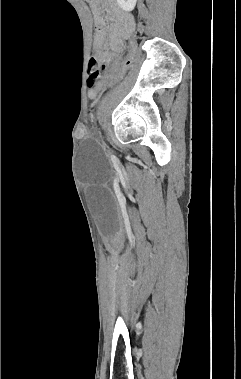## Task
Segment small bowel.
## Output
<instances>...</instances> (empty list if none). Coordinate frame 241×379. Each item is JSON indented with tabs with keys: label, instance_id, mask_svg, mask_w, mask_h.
<instances>
[{
	"label": "small bowel",
	"instance_id": "small-bowel-1",
	"mask_svg": "<svg viewBox=\"0 0 241 379\" xmlns=\"http://www.w3.org/2000/svg\"><path fill=\"white\" fill-rule=\"evenodd\" d=\"M98 4L94 7L97 22V30L94 38V50L98 60L103 64H108L112 59L110 48L116 45L118 36L123 32L125 26L132 24L131 17L122 12L114 3V0H96ZM106 11L113 21L110 29L104 24L102 12ZM97 95L95 88H90L88 96L94 99Z\"/></svg>",
	"mask_w": 241,
	"mask_h": 379
}]
</instances>
